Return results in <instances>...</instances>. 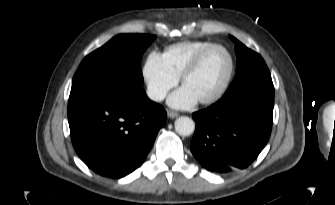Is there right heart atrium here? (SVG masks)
<instances>
[{"instance_id": "d8ad5b80", "label": "right heart atrium", "mask_w": 335, "mask_h": 205, "mask_svg": "<svg viewBox=\"0 0 335 205\" xmlns=\"http://www.w3.org/2000/svg\"><path fill=\"white\" fill-rule=\"evenodd\" d=\"M142 78L149 98L154 101H161L179 81V77L168 68L162 55L157 52L147 56L142 67Z\"/></svg>"}]
</instances>
